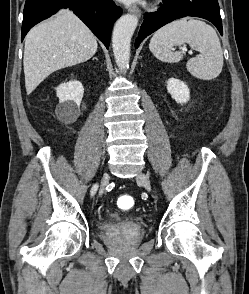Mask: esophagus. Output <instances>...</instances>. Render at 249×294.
Returning a JSON list of instances; mask_svg holds the SVG:
<instances>
[{"label": "esophagus", "instance_id": "1", "mask_svg": "<svg viewBox=\"0 0 249 294\" xmlns=\"http://www.w3.org/2000/svg\"><path fill=\"white\" fill-rule=\"evenodd\" d=\"M129 12L136 15V16H138V17L141 16V10L136 6L130 7Z\"/></svg>", "mask_w": 249, "mask_h": 294}]
</instances>
